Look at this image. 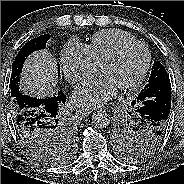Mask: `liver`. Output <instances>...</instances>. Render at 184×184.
I'll return each instance as SVG.
<instances>
[{"label":"liver","instance_id":"obj_1","mask_svg":"<svg viewBox=\"0 0 184 184\" xmlns=\"http://www.w3.org/2000/svg\"><path fill=\"white\" fill-rule=\"evenodd\" d=\"M56 58L48 51L31 54L23 67L21 89L26 95L45 97L53 95L57 84Z\"/></svg>","mask_w":184,"mask_h":184}]
</instances>
